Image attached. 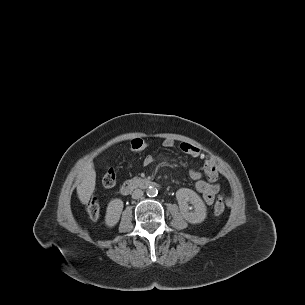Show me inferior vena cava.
Wrapping results in <instances>:
<instances>
[{
	"instance_id": "1",
	"label": "inferior vena cava",
	"mask_w": 305,
	"mask_h": 305,
	"mask_svg": "<svg viewBox=\"0 0 305 305\" xmlns=\"http://www.w3.org/2000/svg\"><path fill=\"white\" fill-rule=\"evenodd\" d=\"M143 196V191L141 189H135L132 193L133 199H139Z\"/></svg>"
}]
</instances>
